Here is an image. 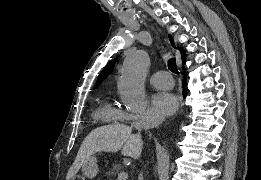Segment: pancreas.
<instances>
[{"label":"pancreas","mask_w":261,"mask_h":180,"mask_svg":"<svg viewBox=\"0 0 261 180\" xmlns=\"http://www.w3.org/2000/svg\"><path fill=\"white\" fill-rule=\"evenodd\" d=\"M124 166L120 165V162H112V165L107 169V176H116V174H120V170H123Z\"/></svg>","instance_id":"pancreas-1"}]
</instances>
